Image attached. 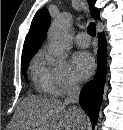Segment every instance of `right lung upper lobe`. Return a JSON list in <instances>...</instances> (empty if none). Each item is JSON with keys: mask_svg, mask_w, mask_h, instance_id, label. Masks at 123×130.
I'll return each mask as SVG.
<instances>
[{"mask_svg": "<svg viewBox=\"0 0 123 130\" xmlns=\"http://www.w3.org/2000/svg\"><path fill=\"white\" fill-rule=\"evenodd\" d=\"M96 0H88L90 11L94 18H100L99 9L94 7ZM50 14L47 8L39 10L31 23L30 31L26 36L22 56L35 54L46 38L47 29L50 25Z\"/></svg>", "mask_w": 123, "mask_h": 130, "instance_id": "obj_1", "label": "right lung upper lobe"}]
</instances>
